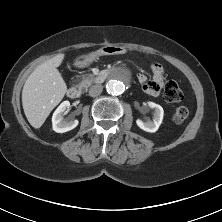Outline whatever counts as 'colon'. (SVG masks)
I'll use <instances>...</instances> for the list:
<instances>
[{
  "label": "colon",
  "mask_w": 222,
  "mask_h": 222,
  "mask_svg": "<svg viewBox=\"0 0 222 222\" xmlns=\"http://www.w3.org/2000/svg\"><path fill=\"white\" fill-rule=\"evenodd\" d=\"M164 98L167 102L176 103L182 100L183 94L179 85L174 81H169L164 86L163 91ZM189 111L185 106H179L176 108L173 114V120L176 123H182L188 117Z\"/></svg>",
  "instance_id": "1"
}]
</instances>
